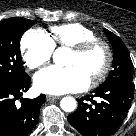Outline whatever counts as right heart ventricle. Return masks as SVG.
<instances>
[{
  "instance_id": "1",
  "label": "right heart ventricle",
  "mask_w": 136,
  "mask_h": 136,
  "mask_svg": "<svg viewBox=\"0 0 136 136\" xmlns=\"http://www.w3.org/2000/svg\"><path fill=\"white\" fill-rule=\"evenodd\" d=\"M95 37L96 33L91 28L73 22L51 27L48 38L54 47L71 48L84 40Z\"/></svg>"
}]
</instances>
